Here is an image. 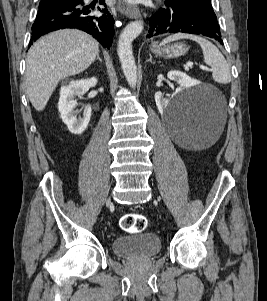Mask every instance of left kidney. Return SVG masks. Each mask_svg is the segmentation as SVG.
I'll list each match as a JSON object with an SVG mask.
<instances>
[{
    "instance_id": "1",
    "label": "left kidney",
    "mask_w": 267,
    "mask_h": 301,
    "mask_svg": "<svg viewBox=\"0 0 267 301\" xmlns=\"http://www.w3.org/2000/svg\"><path fill=\"white\" fill-rule=\"evenodd\" d=\"M167 77L175 81L179 84V88L177 92H180L184 89H189L193 87L196 84V81L191 79L189 76H187L185 73H182L180 71H170L167 74ZM155 102L159 110H163L167 107L169 100L163 98L161 93H156L155 94Z\"/></svg>"
}]
</instances>
